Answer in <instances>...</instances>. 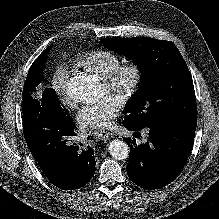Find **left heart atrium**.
I'll use <instances>...</instances> for the list:
<instances>
[{"label": "left heart atrium", "mask_w": 219, "mask_h": 219, "mask_svg": "<svg viewBox=\"0 0 219 219\" xmlns=\"http://www.w3.org/2000/svg\"><path fill=\"white\" fill-rule=\"evenodd\" d=\"M120 102L107 95L96 103L85 106L77 115V121L83 128L102 129L111 126L120 112Z\"/></svg>", "instance_id": "obj_1"}]
</instances>
